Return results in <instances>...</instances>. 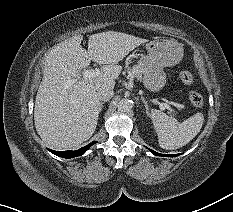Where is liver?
<instances>
[{"label": "liver", "mask_w": 233, "mask_h": 212, "mask_svg": "<svg viewBox=\"0 0 233 212\" xmlns=\"http://www.w3.org/2000/svg\"><path fill=\"white\" fill-rule=\"evenodd\" d=\"M82 35L73 36L52 48L46 56L43 79L34 107L37 133L52 149L78 147L94 133L102 110L96 95L102 85L115 86L121 73L119 61L147 39L108 31L89 36L88 51L81 46ZM94 61L104 66L89 79L80 69ZM77 79L72 85L67 81Z\"/></svg>", "instance_id": "6515ba94"}]
</instances>
